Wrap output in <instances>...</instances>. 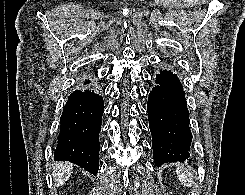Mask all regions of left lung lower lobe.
<instances>
[{
	"mask_svg": "<svg viewBox=\"0 0 245 195\" xmlns=\"http://www.w3.org/2000/svg\"><path fill=\"white\" fill-rule=\"evenodd\" d=\"M147 102L156 166L190 157L192 134L185 92L178 76L170 69H160Z\"/></svg>",
	"mask_w": 245,
	"mask_h": 195,
	"instance_id": "obj_1",
	"label": "left lung lower lobe"
}]
</instances>
